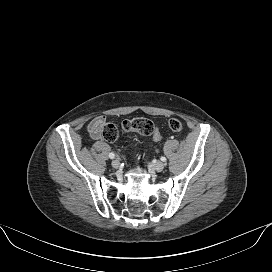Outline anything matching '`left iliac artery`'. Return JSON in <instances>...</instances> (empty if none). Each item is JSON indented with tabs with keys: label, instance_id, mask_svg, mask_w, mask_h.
Segmentation results:
<instances>
[{
	"label": "left iliac artery",
	"instance_id": "obj_1",
	"mask_svg": "<svg viewBox=\"0 0 272 272\" xmlns=\"http://www.w3.org/2000/svg\"><path fill=\"white\" fill-rule=\"evenodd\" d=\"M160 159H161V161H163V162H166V160H167V159H166L165 157H163V156H162Z\"/></svg>",
	"mask_w": 272,
	"mask_h": 272
}]
</instances>
